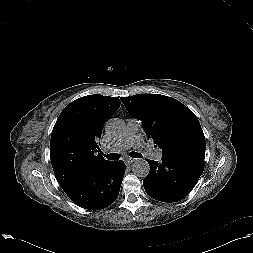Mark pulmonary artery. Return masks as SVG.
I'll use <instances>...</instances> for the list:
<instances>
[{
	"instance_id": "e3ab8cb5",
	"label": "pulmonary artery",
	"mask_w": 253,
	"mask_h": 253,
	"mask_svg": "<svg viewBox=\"0 0 253 253\" xmlns=\"http://www.w3.org/2000/svg\"><path fill=\"white\" fill-rule=\"evenodd\" d=\"M131 147L145 148L146 154L153 160L160 161L162 151L148 148L144 145L143 132L140 123L130 119L127 122L126 131L121 139L104 149L105 153H121Z\"/></svg>"
}]
</instances>
